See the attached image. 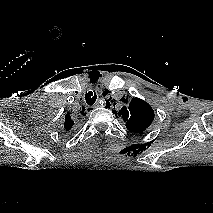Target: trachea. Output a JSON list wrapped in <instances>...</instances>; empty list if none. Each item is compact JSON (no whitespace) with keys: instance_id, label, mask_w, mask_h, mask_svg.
Here are the masks:
<instances>
[{"instance_id":"1","label":"trachea","mask_w":213,"mask_h":213,"mask_svg":"<svg viewBox=\"0 0 213 213\" xmlns=\"http://www.w3.org/2000/svg\"><path fill=\"white\" fill-rule=\"evenodd\" d=\"M85 99H86V103L91 106L95 103L97 99V95L96 93L93 94L92 91H89L88 93H86Z\"/></svg>"}]
</instances>
